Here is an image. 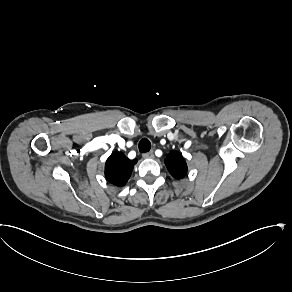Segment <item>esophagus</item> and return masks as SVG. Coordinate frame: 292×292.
I'll return each mask as SVG.
<instances>
[{"instance_id": "34e87169", "label": "esophagus", "mask_w": 292, "mask_h": 292, "mask_svg": "<svg viewBox=\"0 0 292 292\" xmlns=\"http://www.w3.org/2000/svg\"><path fill=\"white\" fill-rule=\"evenodd\" d=\"M143 158L145 159H153L154 158V152L153 150L146 152L142 155Z\"/></svg>"}]
</instances>
